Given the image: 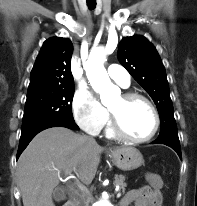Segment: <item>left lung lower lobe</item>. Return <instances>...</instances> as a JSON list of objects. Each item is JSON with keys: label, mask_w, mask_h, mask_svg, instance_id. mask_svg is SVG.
<instances>
[{"label": "left lung lower lobe", "mask_w": 197, "mask_h": 206, "mask_svg": "<svg viewBox=\"0 0 197 206\" xmlns=\"http://www.w3.org/2000/svg\"><path fill=\"white\" fill-rule=\"evenodd\" d=\"M156 143L164 144L171 147L173 150L176 151V153L181 158V148H180L179 138H171V137L158 138L154 142H152V144H156Z\"/></svg>", "instance_id": "obj_1"}]
</instances>
